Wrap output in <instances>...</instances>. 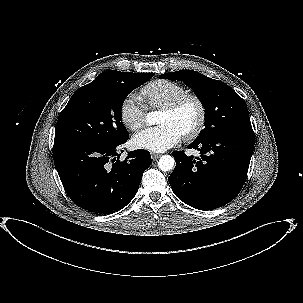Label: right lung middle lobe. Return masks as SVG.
I'll return each instance as SVG.
<instances>
[{
	"label": "right lung middle lobe",
	"instance_id": "right-lung-middle-lobe-1",
	"mask_svg": "<svg viewBox=\"0 0 303 303\" xmlns=\"http://www.w3.org/2000/svg\"><path fill=\"white\" fill-rule=\"evenodd\" d=\"M153 75L103 72L79 88L59 115L54 143L81 140L104 144L126 139L128 131L121 122L123 102Z\"/></svg>",
	"mask_w": 303,
	"mask_h": 303
}]
</instances>
